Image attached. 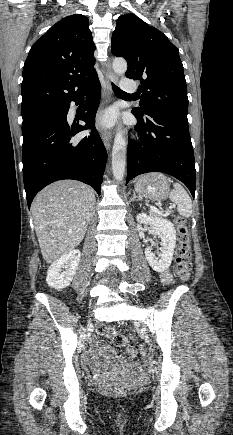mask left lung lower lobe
I'll list each match as a JSON object with an SVG mask.
<instances>
[{
  "label": "left lung lower lobe",
  "instance_id": "0a47b994",
  "mask_svg": "<svg viewBox=\"0 0 233 435\" xmlns=\"http://www.w3.org/2000/svg\"><path fill=\"white\" fill-rule=\"evenodd\" d=\"M137 118L140 140L127 148V180L148 172H162L182 181L195 194V159L187 117L151 114Z\"/></svg>",
  "mask_w": 233,
  "mask_h": 435
}]
</instances>
